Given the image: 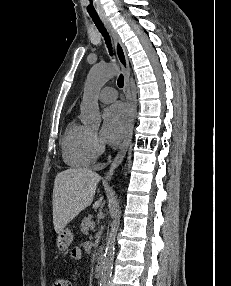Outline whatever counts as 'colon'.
<instances>
[{"instance_id":"colon-1","label":"colon","mask_w":231,"mask_h":286,"mask_svg":"<svg viewBox=\"0 0 231 286\" xmlns=\"http://www.w3.org/2000/svg\"><path fill=\"white\" fill-rule=\"evenodd\" d=\"M52 286H72L71 282L65 277H57Z\"/></svg>"}]
</instances>
